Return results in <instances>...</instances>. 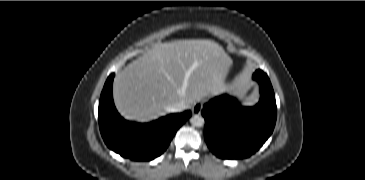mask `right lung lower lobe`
Wrapping results in <instances>:
<instances>
[{
  "mask_svg": "<svg viewBox=\"0 0 365 180\" xmlns=\"http://www.w3.org/2000/svg\"><path fill=\"white\" fill-rule=\"evenodd\" d=\"M113 79L114 74L107 78L99 101L98 119L103 140L124 158L153 160L166 150L176 131L191 116V111L170 114L150 123L126 121L113 103Z\"/></svg>",
  "mask_w": 365,
  "mask_h": 180,
  "instance_id": "98d812e1",
  "label": "right lung lower lobe"
}]
</instances>
